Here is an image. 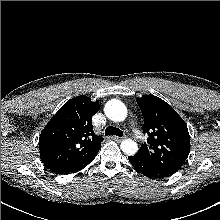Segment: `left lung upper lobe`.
I'll return each instance as SVG.
<instances>
[{
	"instance_id": "obj_1",
	"label": "left lung upper lobe",
	"mask_w": 220,
	"mask_h": 220,
	"mask_svg": "<svg viewBox=\"0 0 220 220\" xmlns=\"http://www.w3.org/2000/svg\"><path fill=\"white\" fill-rule=\"evenodd\" d=\"M136 101L144 116L143 131L149 135L137 154L168 171H178L190 152L186 123L168 103L156 96L145 95Z\"/></svg>"
}]
</instances>
